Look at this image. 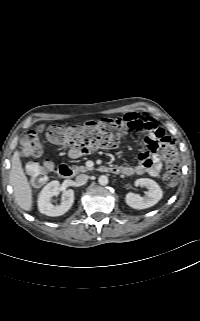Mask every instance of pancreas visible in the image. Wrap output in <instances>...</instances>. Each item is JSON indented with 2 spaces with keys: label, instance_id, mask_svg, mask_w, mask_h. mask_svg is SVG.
<instances>
[{
  "label": "pancreas",
  "instance_id": "obj_1",
  "mask_svg": "<svg viewBox=\"0 0 200 321\" xmlns=\"http://www.w3.org/2000/svg\"><path fill=\"white\" fill-rule=\"evenodd\" d=\"M73 170L75 173H80V172H87L90 169L84 166H73Z\"/></svg>",
  "mask_w": 200,
  "mask_h": 321
}]
</instances>
